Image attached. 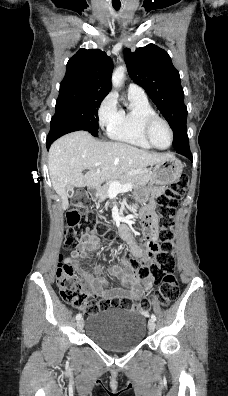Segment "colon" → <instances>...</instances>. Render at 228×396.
I'll return each mask as SVG.
<instances>
[{"instance_id": "colon-1", "label": "colon", "mask_w": 228, "mask_h": 396, "mask_svg": "<svg viewBox=\"0 0 228 396\" xmlns=\"http://www.w3.org/2000/svg\"><path fill=\"white\" fill-rule=\"evenodd\" d=\"M188 184L189 176L183 174L177 181L170 184L157 199L156 215L159 224V245L150 240L151 226L147 224L144 227L143 234L147 240L148 250L156 252L155 262L145 264L137 259L129 261L131 267L137 271L142 284H145V281L150 278L158 280V287L151 297L140 302H134L128 297L111 300H89L82 290L81 279L75 273L73 267L60 262L56 269V282L62 299L82 310L85 315H91L109 307L147 312L154 304L167 306L174 301L178 296L177 280L171 273L176 266L174 214L179 198L187 192ZM72 204L74 207L66 216L65 245L68 247L78 246L84 242L88 231L95 230L98 232L101 230V227L97 225V218L94 214L82 215L81 209L87 208L90 204L86 193L78 192L74 196Z\"/></svg>"}]
</instances>
